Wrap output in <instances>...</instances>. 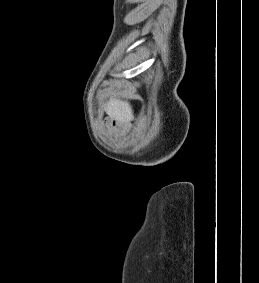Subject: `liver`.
Masks as SVG:
<instances>
[{
	"mask_svg": "<svg viewBox=\"0 0 259 283\" xmlns=\"http://www.w3.org/2000/svg\"><path fill=\"white\" fill-rule=\"evenodd\" d=\"M104 109L112 119L118 122L130 123L134 119L132 107L126 101L111 98Z\"/></svg>",
	"mask_w": 259,
	"mask_h": 283,
	"instance_id": "liver-1",
	"label": "liver"
}]
</instances>
